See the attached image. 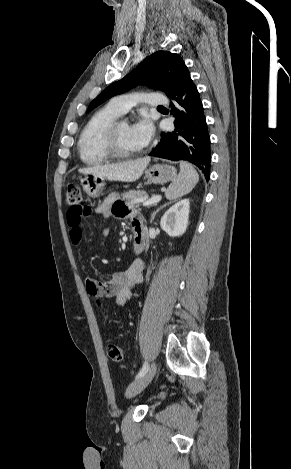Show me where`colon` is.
<instances>
[{"label":"colon","mask_w":291,"mask_h":469,"mask_svg":"<svg viewBox=\"0 0 291 469\" xmlns=\"http://www.w3.org/2000/svg\"><path fill=\"white\" fill-rule=\"evenodd\" d=\"M66 200L72 209L78 211L82 216H88L90 209L82 205V193L77 185H69L66 192ZM108 357L114 362H120L124 359V350L122 347L115 344H108L107 348Z\"/></svg>","instance_id":"colon-1"}]
</instances>
